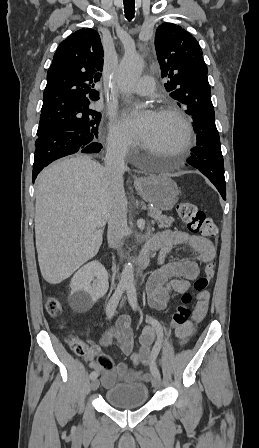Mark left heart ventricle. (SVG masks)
I'll list each match as a JSON object with an SVG mask.
<instances>
[{"label": "left heart ventricle", "mask_w": 259, "mask_h": 448, "mask_svg": "<svg viewBox=\"0 0 259 448\" xmlns=\"http://www.w3.org/2000/svg\"><path fill=\"white\" fill-rule=\"evenodd\" d=\"M181 133V125L174 116L156 115L155 120L141 135L140 143L156 153L167 154L166 150L178 141Z\"/></svg>", "instance_id": "obj_1"}]
</instances>
